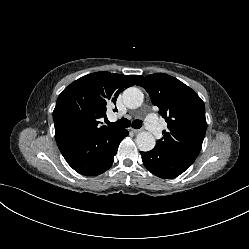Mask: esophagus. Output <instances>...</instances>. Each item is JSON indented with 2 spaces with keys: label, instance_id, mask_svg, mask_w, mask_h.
<instances>
[{
  "label": "esophagus",
  "instance_id": "obj_1",
  "mask_svg": "<svg viewBox=\"0 0 249 249\" xmlns=\"http://www.w3.org/2000/svg\"><path fill=\"white\" fill-rule=\"evenodd\" d=\"M131 131L135 134H138V133L142 132L143 130L142 129H131Z\"/></svg>",
  "mask_w": 249,
  "mask_h": 249
}]
</instances>
